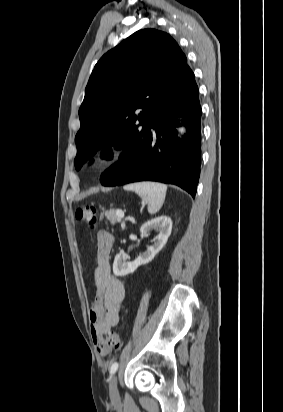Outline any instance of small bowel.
Here are the masks:
<instances>
[{
    "instance_id": "1",
    "label": "small bowel",
    "mask_w": 283,
    "mask_h": 412,
    "mask_svg": "<svg viewBox=\"0 0 283 412\" xmlns=\"http://www.w3.org/2000/svg\"><path fill=\"white\" fill-rule=\"evenodd\" d=\"M97 258L94 270V300L89 309L90 334L93 342L103 354L101 342L119 320V309L125 298L123 282L110 269V256L114 245L113 236L99 231L96 237Z\"/></svg>"
}]
</instances>
